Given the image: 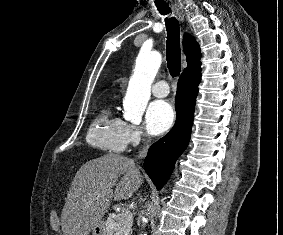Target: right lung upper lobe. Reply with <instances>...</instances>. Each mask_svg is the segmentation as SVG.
I'll return each mask as SVG.
<instances>
[{
  "mask_svg": "<svg viewBox=\"0 0 283 235\" xmlns=\"http://www.w3.org/2000/svg\"><path fill=\"white\" fill-rule=\"evenodd\" d=\"M183 49L186 54V60L188 63L187 68L184 69L182 76H190L200 73V48L195 39L189 34L184 35Z\"/></svg>",
  "mask_w": 283,
  "mask_h": 235,
  "instance_id": "1",
  "label": "right lung upper lobe"
}]
</instances>
